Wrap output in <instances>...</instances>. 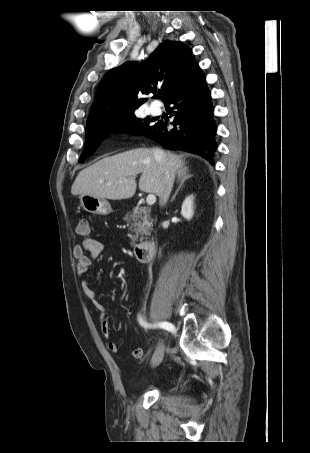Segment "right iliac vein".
Here are the masks:
<instances>
[{"label": "right iliac vein", "instance_id": "right-iliac-vein-1", "mask_svg": "<svg viewBox=\"0 0 310 453\" xmlns=\"http://www.w3.org/2000/svg\"><path fill=\"white\" fill-rule=\"evenodd\" d=\"M164 349H165L164 345L160 343L158 345V348H157L152 360H151V366L152 367H156L162 362L163 356H164Z\"/></svg>", "mask_w": 310, "mask_h": 453}]
</instances>
